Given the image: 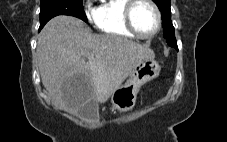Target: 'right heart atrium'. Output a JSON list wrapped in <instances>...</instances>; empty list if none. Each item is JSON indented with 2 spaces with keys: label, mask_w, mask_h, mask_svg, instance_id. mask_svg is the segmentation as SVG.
Instances as JSON below:
<instances>
[{
  "label": "right heart atrium",
  "mask_w": 227,
  "mask_h": 142,
  "mask_svg": "<svg viewBox=\"0 0 227 142\" xmlns=\"http://www.w3.org/2000/svg\"><path fill=\"white\" fill-rule=\"evenodd\" d=\"M94 10L91 8L90 6V0H87L86 1V4H85V15L87 18L89 19H92L94 18Z\"/></svg>",
  "instance_id": "d8ad5b80"
}]
</instances>
